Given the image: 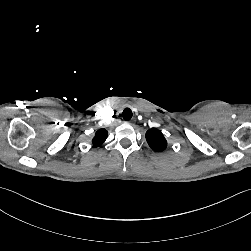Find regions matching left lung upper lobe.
Masks as SVG:
<instances>
[{"label": "left lung upper lobe", "instance_id": "1", "mask_svg": "<svg viewBox=\"0 0 251 251\" xmlns=\"http://www.w3.org/2000/svg\"><path fill=\"white\" fill-rule=\"evenodd\" d=\"M146 140L149 146L157 152L163 151L167 146V141L163 134L161 131L155 128H152L146 132Z\"/></svg>", "mask_w": 251, "mask_h": 251}]
</instances>
